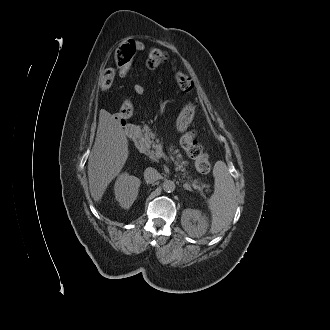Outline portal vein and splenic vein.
I'll use <instances>...</instances> for the list:
<instances>
[{
	"label": "portal vein and splenic vein",
	"mask_w": 330,
	"mask_h": 330,
	"mask_svg": "<svg viewBox=\"0 0 330 330\" xmlns=\"http://www.w3.org/2000/svg\"><path fill=\"white\" fill-rule=\"evenodd\" d=\"M156 156L158 157V158H166L167 156L163 153V151H162V146L161 145H157L156 146Z\"/></svg>",
	"instance_id": "18ae733b"
}]
</instances>
